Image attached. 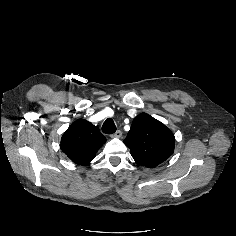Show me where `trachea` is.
<instances>
[{
	"mask_svg": "<svg viewBox=\"0 0 236 236\" xmlns=\"http://www.w3.org/2000/svg\"><path fill=\"white\" fill-rule=\"evenodd\" d=\"M102 132L105 134H113L116 132V125L114 121L108 118L102 125Z\"/></svg>",
	"mask_w": 236,
	"mask_h": 236,
	"instance_id": "1",
	"label": "trachea"
}]
</instances>
